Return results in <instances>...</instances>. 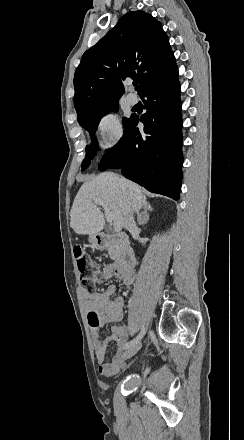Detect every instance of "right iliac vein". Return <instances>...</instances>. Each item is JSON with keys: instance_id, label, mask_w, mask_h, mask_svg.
<instances>
[{"instance_id": "1", "label": "right iliac vein", "mask_w": 244, "mask_h": 440, "mask_svg": "<svg viewBox=\"0 0 244 440\" xmlns=\"http://www.w3.org/2000/svg\"><path fill=\"white\" fill-rule=\"evenodd\" d=\"M141 348V343L138 342L134 345H132L130 348H128L124 353H123V359H130L131 357H133Z\"/></svg>"}]
</instances>
